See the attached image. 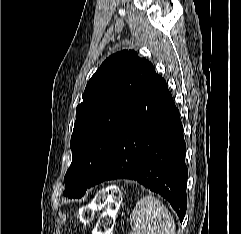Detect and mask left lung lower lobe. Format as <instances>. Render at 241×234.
<instances>
[{
    "mask_svg": "<svg viewBox=\"0 0 241 234\" xmlns=\"http://www.w3.org/2000/svg\"><path fill=\"white\" fill-rule=\"evenodd\" d=\"M186 144L179 110L156 74L131 109L88 188L133 179L166 198L182 222L187 208Z\"/></svg>",
    "mask_w": 241,
    "mask_h": 234,
    "instance_id": "1",
    "label": "left lung lower lobe"
}]
</instances>
